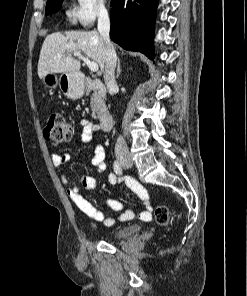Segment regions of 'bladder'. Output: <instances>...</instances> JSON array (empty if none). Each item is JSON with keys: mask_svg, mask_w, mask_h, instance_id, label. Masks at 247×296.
<instances>
[{"mask_svg": "<svg viewBox=\"0 0 247 296\" xmlns=\"http://www.w3.org/2000/svg\"><path fill=\"white\" fill-rule=\"evenodd\" d=\"M139 229H140L139 225H136V224L127 225L114 231L112 233V238L114 240L125 239L127 237H130L136 234L139 231Z\"/></svg>", "mask_w": 247, "mask_h": 296, "instance_id": "31cf9c89", "label": "bladder"}]
</instances>
